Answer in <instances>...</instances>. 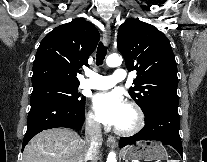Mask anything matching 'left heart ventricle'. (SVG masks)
I'll return each mask as SVG.
<instances>
[{
	"mask_svg": "<svg viewBox=\"0 0 207 162\" xmlns=\"http://www.w3.org/2000/svg\"><path fill=\"white\" fill-rule=\"evenodd\" d=\"M135 123V114L132 108L129 106L125 105L120 118L116 124V127L121 128V129H127L133 126Z\"/></svg>",
	"mask_w": 207,
	"mask_h": 162,
	"instance_id": "1",
	"label": "left heart ventricle"
}]
</instances>
